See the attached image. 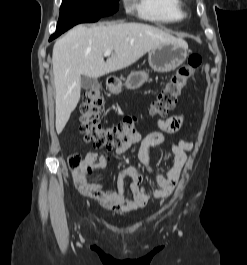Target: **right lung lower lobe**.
Listing matches in <instances>:
<instances>
[{"mask_svg":"<svg viewBox=\"0 0 247 265\" xmlns=\"http://www.w3.org/2000/svg\"><path fill=\"white\" fill-rule=\"evenodd\" d=\"M99 19L100 18L96 17H73L69 19L59 20V22L57 23L56 32L50 37L49 41L57 38L59 35H61L76 24L84 22H94Z\"/></svg>","mask_w":247,"mask_h":265,"instance_id":"obj_1","label":"right lung lower lobe"}]
</instances>
